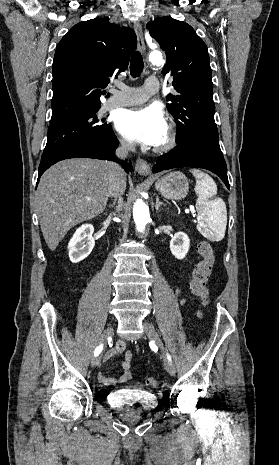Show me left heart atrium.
<instances>
[{
    "mask_svg": "<svg viewBox=\"0 0 279 465\" xmlns=\"http://www.w3.org/2000/svg\"><path fill=\"white\" fill-rule=\"evenodd\" d=\"M117 129L129 140L156 146L167 131L161 110L155 106L126 110L117 118Z\"/></svg>",
    "mask_w": 279,
    "mask_h": 465,
    "instance_id": "1",
    "label": "left heart atrium"
}]
</instances>
